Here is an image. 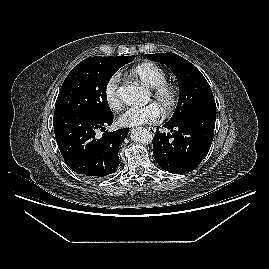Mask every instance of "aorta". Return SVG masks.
Masks as SVG:
<instances>
[{
	"mask_svg": "<svg viewBox=\"0 0 269 269\" xmlns=\"http://www.w3.org/2000/svg\"><path fill=\"white\" fill-rule=\"evenodd\" d=\"M117 95L121 101L127 105H135L146 99L145 90L134 84H127L120 87L117 90ZM131 139L140 144H150L152 142L153 136L146 128H135L131 131Z\"/></svg>",
	"mask_w": 269,
	"mask_h": 269,
	"instance_id": "762f6f07",
	"label": "aorta"
}]
</instances>
